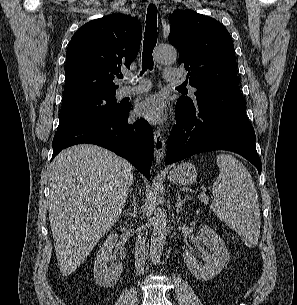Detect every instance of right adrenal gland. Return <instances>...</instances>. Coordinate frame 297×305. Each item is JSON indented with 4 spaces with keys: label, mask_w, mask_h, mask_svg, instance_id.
Masks as SVG:
<instances>
[{
    "label": "right adrenal gland",
    "mask_w": 297,
    "mask_h": 305,
    "mask_svg": "<svg viewBox=\"0 0 297 305\" xmlns=\"http://www.w3.org/2000/svg\"><path fill=\"white\" fill-rule=\"evenodd\" d=\"M133 210L128 209L122 212V215H126L128 217H134L136 212H137V207H136V202L135 199L133 198V204H132Z\"/></svg>",
    "instance_id": "obj_1"
}]
</instances>
